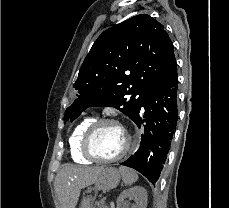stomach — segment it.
I'll return each mask as SVG.
<instances>
[{
    "label": "stomach",
    "instance_id": "0dacf381",
    "mask_svg": "<svg viewBox=\"0 0 229 208\" xmlns=\"http://www.w3.org/2000/svg\"><path fill=\"white\" fill-rule=\"evenodd\" d=\"M104 168L105 170L95 180L94 188H91L90 192H85V194H94V196H83L79 208H93L94 198L99 190H113L118 186L121 180L119 170L117 168H109V166H104Z\"/></svg>",
    "mask_w": 229,
    "mask_h": 208
}]
</instances>
